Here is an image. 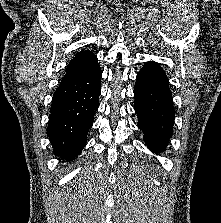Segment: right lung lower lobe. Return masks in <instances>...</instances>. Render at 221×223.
<instances>
[{"mask_svg":"<svg viewBox=\"0 0 221 223\" xmlns=\"http://www.w3.org/2000/svg\"><path fill=\"white\" fill-rule=\"evenodd\" d=\"M101 76L100 66L97 65L56 89L47 128L56 156L69 161L81 154L98 109Z\"/></svg>","mask_w":221,"mask_h":223,"instance_id":"98d812e1","label":"right lung lower lobe"}]
</instances>
